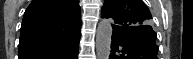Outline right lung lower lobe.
<instances>
[{
	"label": "right lung lower lobe",
	"mask_w": 193,
	"mask_h": 59,
	"mask_svg": "<svg viewBox=\"0 0 193 59\" xmlns=\"http://www.w3.org/2000/svg\"><path fill=\"white\" fill-rule=\"evenodd\" d=\"M79 40L80 38L50 55L32 57L30 59H78Z\"/></svg>",
	"instance_id": "right-lung-lower-lobe-1"
}]
</instances>
